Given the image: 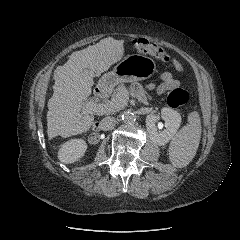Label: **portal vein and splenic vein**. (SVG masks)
<instances>
[{
	"label": "portal vein and splenic vein",
	"instance_id": "18ae733b",
	"mask_svg": "<svg viewBox=\"0 0 240 240\" xmlns=\"http://www.w3.org/2000/svg\"><path fill=\"white\" fill-rule=\"evenodd\" d=\"M119 105L118 100H111L107 103L96 104L94 102H88L85 107H82V111L86 113H106L107 111H115L117 110V106Z\"/></svg>",
	"mask_w": 240,
	"mask_h": 240
}]
</instances>
